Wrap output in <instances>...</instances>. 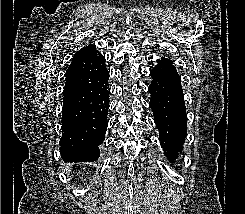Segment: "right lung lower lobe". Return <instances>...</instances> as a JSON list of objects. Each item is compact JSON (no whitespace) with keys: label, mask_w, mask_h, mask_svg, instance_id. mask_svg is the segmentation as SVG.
Instances as JSON below:
<instances>
[{"label":"right lung lower lobe","mask_w":245,"mask_h":214,"mask_svg":"<svg viewBox=\"0 0 245 214\" xmlns=\"http://www.w3.org/2000/svg\"><path fill=\"white\" fill-rule=\"evenodd\" d=\"M80 55L76 52L66 71L62 108L60 153L65 162H93L100 156L98 146L108 126L109 73L102 64L101 75L93 82L81 83Z\"/></svg>","instance_id":"obj_1"}]
</instances>
